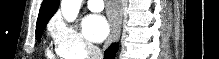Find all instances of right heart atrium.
Listing matches in <instances>:
<instances>
[{
	"mask_svg": "<svg viewBox=\"0 0 219 59\" xmlns=\"http://www.w3.org/2000/svg\"><path fill=\"white\" fill-rule=\"evenodd\" d=\"M55 48L66 59H87L95 52V46L88 42L75 25L56 20L51 26Z\"/></svg>",
	"mask_w": 219,
	"mask_h": 59,
	"instance_id": "obj_1",
	"label": "right heart atrium"
}]
</instances>
